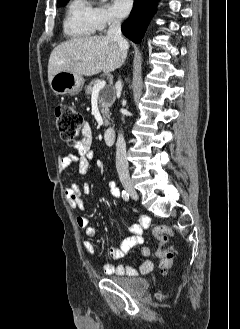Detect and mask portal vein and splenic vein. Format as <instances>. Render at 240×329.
I'll list each match as a JSON object with an SVG mask.
<instances>
[{
    "instance_id": "obj_1",
    "label": "portal vein and splenic vein",
    "mask_w": 240,
    "mask_h": 329,
    "mask_svg": "<svg viewBox=\"0 0 240 329\" xmlns=\"http://www.w3.org/2000/svg\"><path fill=\"white\" fill-rule=\"evenodd\" d=\"M105 81H99L94 87L92 91V96H98L100 91L105 87Z\"/></svg>"
}]
</instances>
